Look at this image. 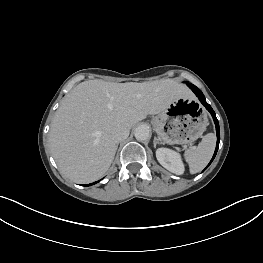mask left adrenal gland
I'll return each instance as SVG.
<instances>
[{
	"label": "left adrenal gland",
	"instance_id": "1",
	"mask_svg": "<svg viewBox=\"0 0 263 263\" xmlns=\"http://www.w3.org/2000/svg\"><path fill=\"white\" fill-rule=\"evenodd\" d=\"M153 144H154V148H156L157 144H160V141H159V139L157 137H154Z\"/></svg>",
	"mask_w": 263,
	"mask_h": 263
}]
</instances>
